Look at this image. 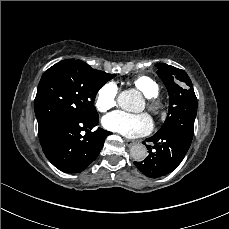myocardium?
Wrapping results in <instances>:
<instances>
[{"mask_svg": "<svg viewBox=\"0 0 229 229\" xmlns=\"http://www.w3.org/2000/svg\"><path fill=\"white\" fill-rule=\"evenodd\" d=\"M148 107L156 115L164 114L166 109V105L158 96L148 97Z\"/></svg>", "mask_w": 229, "mask_h": 229, "instance_id": "myocardium-1", "label": "myocardium"}]
</instances>
